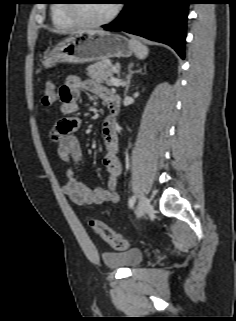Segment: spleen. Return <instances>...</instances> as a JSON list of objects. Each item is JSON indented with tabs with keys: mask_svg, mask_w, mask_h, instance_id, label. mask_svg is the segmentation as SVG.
Segmentation results:
<instances>
[{
	"mask_svg": "<svg viewBox=\"0 0 236 321\" xmlns=\"http://www.w3.org/2000/svg\"><path fill=\"white\" fill-rule=\"evenodd\" d=\"M133 46V52L139 59H144L148 55V48L136 40H130Z\"/></svg>",
	"mask_w": 236,
	"mask_h": 321,
	"instance_id": "3e777b00",
	"label": "spleen"
}]
</instances>
